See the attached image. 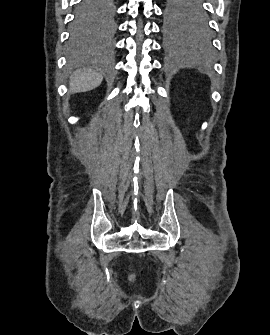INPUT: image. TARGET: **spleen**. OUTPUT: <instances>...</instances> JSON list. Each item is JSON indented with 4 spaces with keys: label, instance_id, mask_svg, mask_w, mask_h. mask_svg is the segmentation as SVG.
Wrapping results in <instances>:
<instances>
[{
    "label": "spleen",
    "instance_id": "1",
    "mask_svg": "<svg viewBox=\"0 0 270 335\" xmlns=\"http://www.w3.org/2000/svg\"><path fill=\"white\" fill-rule=\"evenodd\" d=\"M198 52H196V48L194 46V48H191V50H184V62H197L198 60V56H197Z\"/></svg>",
    "mask_w": 270,
    "mask_h": 335
}]
</instances>
